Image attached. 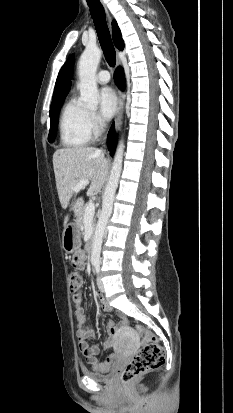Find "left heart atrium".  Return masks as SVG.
Wrapping results in <instances>:
<instances>
[{
	"mask_svg": "<svg viewBox=\"0 0 233 413\" xmlns=\"http://www.w3.org/2000/svg\"><path fill=\"white\" fill-rule=\"evenodd\" d=\"M118 108V98L114 90L105 87L100 92V112L105 119H110Z\"/></svg>",
	"mask_w": 233,
	"mask_h": 413,
	"instance_id": "39dd6f15",
	"label": "left heart atrium"
}]
</instances>
